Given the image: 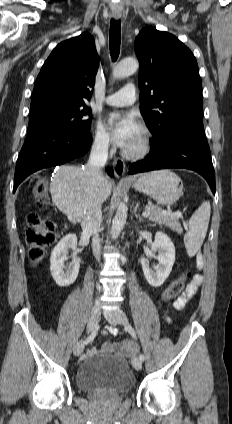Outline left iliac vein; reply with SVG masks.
I'll list each match as a JSON object with an SVG mask.
<instances>
[{
	"label": "left iliac vein",
	"mask_w": 232,
	"mask_h": 424,
	"mask_svg": "<svg viewBox=\"0 0 232 424\" xmlns=\"http://www.w3.org/2000/svg\"><path fill=\"white\" fill-rule=\"evenodd\" d=\"M104 316L107 319V321L111 324L126 325L127 323L126 314L119 309H115L112 311H105ZM132 365L136 370H140L142 368V361L138 357H133Z\"/></svg>",
	"instance_id": "1"
}]
</instances>
